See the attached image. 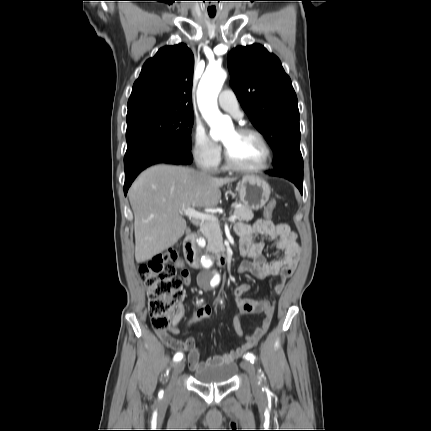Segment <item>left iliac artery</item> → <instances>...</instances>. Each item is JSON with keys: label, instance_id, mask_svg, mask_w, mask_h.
Masks as SVG:
<instances>
[{"label": "left iliac artery", "instance_id": "1", "mask_svg": "<svg viewBox=\"0 0 431 431\" xmlns=\"http://www.w3.org/2000/svg\"><path fill=\"white\" fill-rule=\"evenodd\" d=\"M245 358H246L247 360H250L252 363H254L255 356H254L252 353H248V354H246V355H245Z\"/></svg>", "mask_w": 431, "mask_h": 431}]
</instances>
